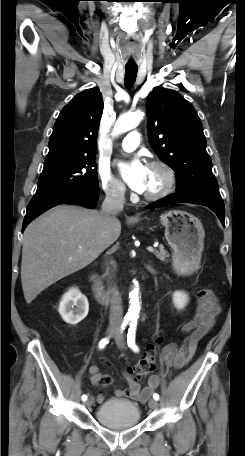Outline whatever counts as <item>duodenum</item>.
<instances>
[{
  "instance_id": "obj_1",
  "label": "duodenum",
  "mask_w": 245,
  "mask_h": 456,
  "mask_svg": "<svg viewBox=\"0 0 245 456\" xmlns=\"http://www.w3.org/2000/svg\"><path fill=\"white\" fill-rule=\"evenodd\" d=\"M92 284V290L95 296L104 303L114 302L117 299L118 294L109 290H106L100 278L91 273L89 276Z\"/></svg>"
}]
</instances>
